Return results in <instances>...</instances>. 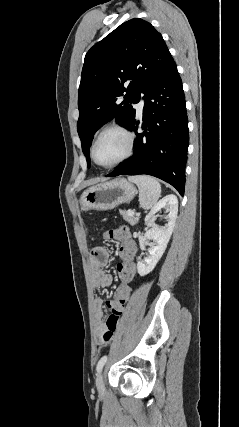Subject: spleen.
<instances>
[{"label": "spleen", "mask_w": 239, "mask_h": 427, "mask_svg": "<svg viewBox=\"0 0 239 427\" xmlns=\"http://www.w3.org/2000/svg\"><path fill=\"white\" fill-rule=\"evenodd\" d=\"M128 180L138 186L140 206L145 210L153 208L161 195L159 182L147 175L130 176Z\"/></svg>", "instance_id": "obj_1"}]
</instances>
